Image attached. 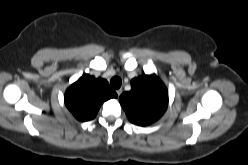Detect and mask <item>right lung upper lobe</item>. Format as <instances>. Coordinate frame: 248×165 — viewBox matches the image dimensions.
I'll list each match as a JSON object with an SVG mask.
<instances>
[{
    "instance_id": "obj_1",
    "label": "right lung upper lobe",
    "mask_w": 248,
    "mask_h": 165,
    "mask_svg": "<svg viewBox=\"0 0 248 165\" xmlns=\"http://www.w3.org/2000/svg\"><path fill=\"white\" fill-rule=\"evenodd\" d=\"M116 97L106 80L84 74L67 89L65 104L76 119L88 121L96 116L104 101Z\"/></svg>"
}]
</instances>
